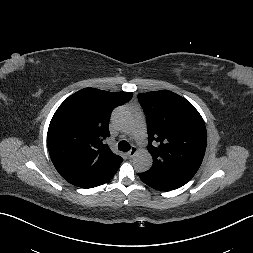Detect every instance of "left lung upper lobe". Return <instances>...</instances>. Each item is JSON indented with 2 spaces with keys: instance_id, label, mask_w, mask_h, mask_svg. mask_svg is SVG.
Here are the masks:
<instances>
[{
  "instance_id": "1",
  "label": "left lung upper lobe",
  "mask_w": 253,
  "mask_h": 253,
  "mask_svg": "<svg viewBox=\"0 0 253 253\" xmlns=\"http://www.w3.org/2000/svg\"><path fill=\"white\" fill-rule=\"evenodd\" d=\"M153 166L145 173L188 182L199 169L207 144L204 121L195 107L178 94L160 90L140 93Z\"/></svg>"
}]
</instances>
